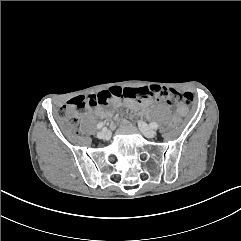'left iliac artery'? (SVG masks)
<instances>
[{
  "label": "left iliac artery",
  "instance_id": "obj_1",
  "mask_svg": "<svg viewBox=\"0 0 241 241\" xmlns=\"http://www.w3.org/2000/svg\"><path fill=\"white\" fill-rule=\"evenodd\" d=\"M150 127L153 128V129H158L159 126L156 122H151Z\"/></svg>",
  "mask_w": 241,
  "mask_h": 241
}]
</instances>
